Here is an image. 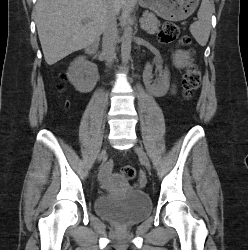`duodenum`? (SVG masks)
<instances>
[{"mask_svg": "<svg viewBox=\"0 0 248 250\" xmlns=\"http://www.w3.org/2000/svg\"><path fill=\"white\" fill-rule=\"evenodd\" d=\"M97 50V42L96 41H92L90 42L87 47H86V53L89 56H93L96 53Z\"/></svg>", "mask_w": 248, "mask_h": 250, "instance_id": "410a0bca", "label": "duodenum"}]
</instances>
